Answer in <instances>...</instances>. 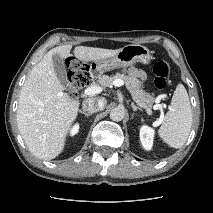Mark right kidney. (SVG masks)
I'll list each match as a JSON object with an SVG mask.
<instances>
[{"label":"right kidney","mask_w":213,"mask_h":213,"mask_svg":"<svg viewBox=\"0 0 213 213\" xmlns=\"http://www.w3.org/2000/svg\"><path fill=\"white\" fill-rule=\"evenodd\" d=\"M78 131H79V124H75V125L71 128V130H70L71 136L77 134Z\"/></svg>","instance_id":"1"}]
</instances>
